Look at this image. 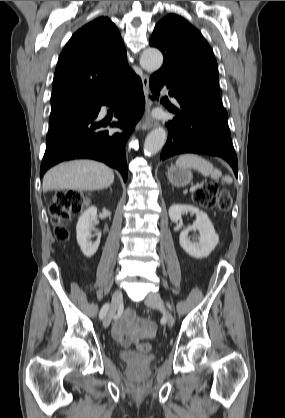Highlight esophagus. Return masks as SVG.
<instances>
[{
  "label": "esophagus",
  "instance_id": "esophagus-1",
  "mask_svg": "<svg viewBox=\"0 0 285 418\" xmlns=\"http://www.w3.org/2000/svg\"><path fill=\"white\" fill-rule=\"evenodd\" d=\"M142 86L143 92L146 99V107L143 120L137 125V130L151 129L153 127L159 126V122L154 120L151 116V101L149 99L150 88H149V77L147 74L142 76Z\"/></svg>",
  "mask_w": 285,
  "mask_h": 418
}]
</instances>
